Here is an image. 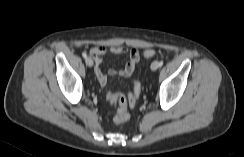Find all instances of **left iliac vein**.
Wrapping results in <instances>:
<instances>
[{"label":"left iliac vein","instance_id":"left-iliac-vein-1","mask_svg":"<svg viewBox=\"0 0 244 157\" xmlns=\"http://www.w3.org/2000/svg\"><path fill=\"white\" fill-rule=\"evenodd\" d=\"M151 69L153 71L157 70L158 69V62L157 61H154L152 64H151Z\"/></svg>","mask_w":244,"mask_h":157}]
</instances>
